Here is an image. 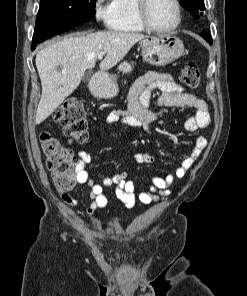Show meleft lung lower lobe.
I'll use <instances>...</instances> for the list:
<instances>
[{
    "mask_svg": "<svg viewBox=\"0 0 247 296\" xmlns=\"http://www.w3.org/2000/svg\"><path fill=\"white\" fill-rule=\"evenodd\" d=\"M201 35L203 36V38L205 40H207L209 42V44H212V38H211L209 33H204V34H201Z\"/></svg>",
    "mask_w": 247,
    "mask_h": 296,
    "instance_id": "0a47b994",
    "label": "left lung lower lobe"
}]
</instances>
